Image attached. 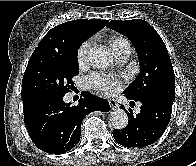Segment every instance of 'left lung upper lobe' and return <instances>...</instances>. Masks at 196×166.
Segmentation results:
<instances>
[{"label":"left lung upper lobe","mask_w":196,"mask_h":166,"mask_svg":"<svg viewBox=\"0 0 196 166\" xmlns=\"http://www.w3.org/2000/svg\"><path fill=\"white\" fill-rule=\"evenodd\" d=\"M107 27L126 35L134 45L140 74L124 90L127 98L161 96L174 101L175 75L167 48L156 30L145 20H112Z\"/></svg>","instance_id":"left-lung-upper-lobe-1"}]
</instances>
